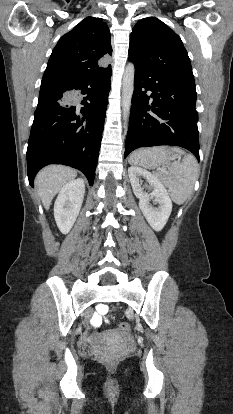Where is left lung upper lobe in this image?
Segmentation results:
<instances>
[{
    "instance_id": "1",
    "label": "left lung upper lobe",
    "mask_w": 233,
    "mask_h": 414,
    "mask_svg": "<svg viewBox=\"0 0 233 414\" xmlns=\"http://www.w3.org/2000/svg\"><path fill=\"white\" fill-rule=\"evenodd\" d=\"M129 60L162 78L194 81L190 59L180 37L155 17L143 18L134 26Z\"/></svg>"
}]
</instances>
